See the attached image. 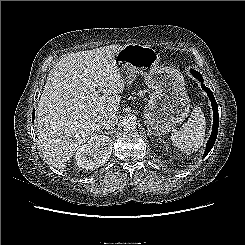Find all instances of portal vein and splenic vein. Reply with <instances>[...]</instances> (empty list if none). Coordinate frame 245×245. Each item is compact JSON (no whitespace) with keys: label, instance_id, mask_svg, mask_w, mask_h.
I'll use <instances>...</instances> for the list:
<instances>
[{"label":"portal vein and splenic vein","instance_id":"18ae733b","mask_svg":"<svg viewBox=\"0 0 245 245\" xmlns=\"http://www.w3.org/2000/svg\"><path fill=\"white\" fill-rule=\"evenodd\" d=\"M85 76H86V73L83 74V75H81L82 80H83L87 85L93 87L94 84L92 83V81H90L89 79L85 78Z\"/></svg>","mask_w":245,"mask_h":245}]
</instances>
